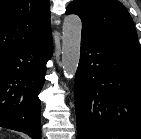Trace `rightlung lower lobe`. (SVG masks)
<instances>
[{
	"label": "right lung lower lobe",
	"instance_id": "obj_1",
	"mask_svg": "<svg viewBox=\"0 0 141 139\" xmlns=\"http://www.w3.org/2000/svg\"><path fill=\"white\" fill-rule=\"evenodd\" d=\"M52 37L0 53V126L41 139V102Z\"/></svg>",
	"mask_w": 141,
	"mask_h": 139
}]
</instances>
